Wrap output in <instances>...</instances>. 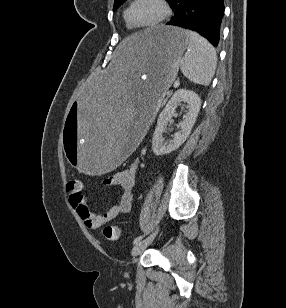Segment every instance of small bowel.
Here are the masks:
<instances>
[{
    "mask_svg": "<svg viewBox=\"0 0 286 308\" xmlns=\"http://www.w3.org/2000/svg\"><path fill=\"white\" fill-rule=\"evenodd\" d=\"M138 170L139 163L133 162L126 169L118 171L105 179V185L117 187L120 195L117 202L110 209L101 213H94L88 207L86 197L83 194V184L80 191H69V202L87 228L98 229L120 214L130 210L132 190L136 183Z\"/></svg>",
    "mask_w": 286,
    "mask_h": 308,
    "instance_id": "obj_1",
    "label": "small bowel"
}]
</instances>
